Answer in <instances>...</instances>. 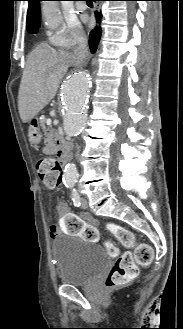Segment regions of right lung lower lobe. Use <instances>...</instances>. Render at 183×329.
Here are the masks:
<instances>
[{"mask_svg":"<svg viewBox=\"0 0 183 329\" xmlns=\"http://www.w3.org/2000/svg\"><path fill=\"white\" fill-rule=\"evenodd\" d=\"M94 1H102V0H94ZM95 15V19H96V26L93 30H91L90 35H89V47L91 50V53H95L100 38H101V33H102V29H101V21H102V13L100 11H95L94 13Z\"/></svg>","mask_w":183,"mask_h":329,"instance_id":"obj_1","label":"right lung lower lobe"}]
</instances>
